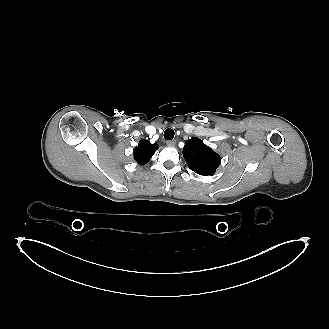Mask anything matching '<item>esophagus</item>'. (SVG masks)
Listing matches in <instances>:
<instances>
[{"label": "esophagus", "mask_w": 329, "mask_h": 329, "mask_svg": "<svg viewBox=\"0 0 329 329\" xmlns=\"http://www.w3.org/2000/svg\"><path fill=\"white\" fill-rule=\"evenodd\" d=\"M167 146L174 147L176 145V140H169L166 142Z\"/></svg>", "instance_id": "34e87169"}]
</instances>
